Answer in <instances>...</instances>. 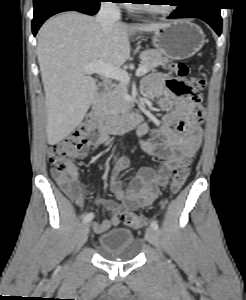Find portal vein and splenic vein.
<instances>
[{
  "instance_id": "1",
  "label": "portal vein and splenic vein",
  "mask_w": 246,
  "mask_h": 300,
  "mask_svg": "<svg viewBox=\"0 0 246 300\" xmlns=\"http://www.w3.org/2000/svg\"><path fill=\"white\" fill-rule=\"evenodd\" d=\"M84 71L87 75L97 73L104 77L120 81L124 84H129L130 82V75L126 71L106 64L102 60H97L95 62L86 64L84 66ZM144 74H146V70L143 66H140L135 72L136 76H142Z\"/></svg>"
}]
</instances>
